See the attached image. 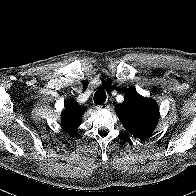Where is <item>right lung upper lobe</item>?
I'll return each mask as SVG.
<instances>
[{
  "label": "right lung upper lobe",
  "mask_w": 196,
  "mask_h": 196,
  "mask_svg": "<svg viewBox=\"0 0 196 196\" xmlns=\"http://www.w3.org/2000/svg\"><path fill=\"white\" fill-rule=\"evenodd\" d=\"M72 104H70L71 106ZM72 110H70L68 107H66V110L64 111L62 115V123L66 128H72L73 127V121L71 120L72 117Z\"/></svg>",
  "instance_id": "cb5924a9"
}]
</instances>
